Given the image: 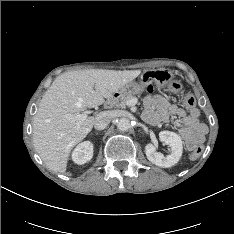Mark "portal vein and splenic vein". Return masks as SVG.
I'll return each mask as SVG.
<instances>
[{
  "instance_id": "obj_1",
  "label": "portal vein and splenic vein",
  "mask_w": 234,
  "mask_h": 234,
  "mask_svg": "<svg viewBox=\"0 0 234 234\" xmlns=\"http://www.w3.org/2000/svg\"><path fill=\"white\" fill-rule=\"evenodd\" d=\"M129 103H133V101L130 100ZM67 118L74 119L77 122V128H79L80 124L88 118V113L84 112V113H81V114L79 113L76 115H67Z\"/></svg>"
}]
</instances>
